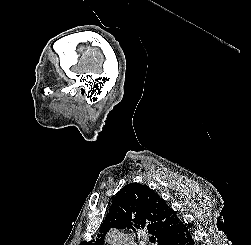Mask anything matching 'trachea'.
<instances>
[{
	"label": "trachea",
	"instance_id": "1",
	"mask_svg": "<svg viewBox=\"0 0 251 245\" xmlns=\"http://www.w3.org/2000/svg\"><path fill=\"white\" fill-rule=\"evenodd\" d=\"M149 241H150L151 243H155V238H154V237H150Z\"/></svg>",
	"mask_w": 251,
	"mask_h": 245
}]
</instances>
